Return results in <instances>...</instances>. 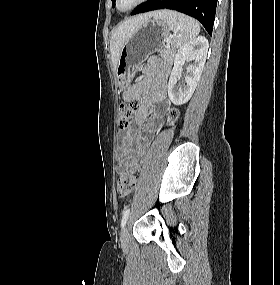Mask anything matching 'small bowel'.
Segmentation results:
<instances>
[{
  "mask_svg": "<svg viewBox=\"0 0 280 285\" xmlns=\"http://www.w3.org/2000/svg\"><path fill=\"white\" fill-rule=\"evenodd\" d=\"M170 68L163 66L158 73L149 72L130 87L123 95L126 101L140 100V105L135 116V122L143 125L149 109L152 105H160L155 113L156 119L163 118L170 110V102L167 97V85L170 78ZM157 126L154 122L147 123L141 133L123 131L119 134L118 166L117 171H129L136 173L139 168V156L143 153L149 138L154 134Z\"/></svg>",
  "mask_w": 280,
  "mask_h": 285,
  "instance_id": "small-bowel-1",
  "label": "small bowel"
}]
</instances>
